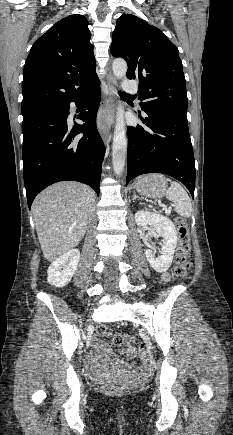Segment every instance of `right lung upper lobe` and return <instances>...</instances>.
Instances as JSON below:
<instances>
[{
	"label": "right lung upper lobe",
	"mask_w": 233,
	"mask_h": 435,
	"mask_svg": "<svg viewBox=\"0 0 233 435\" xmlns=\"http://www.w3.org/2000/svg\"><path fill=\"white\" fill-rule=\"evenodd\" d=\"M90 38L87 19L75 14L33 44L23 72V117L63 105L97 76Z\"/></svg>",
	"instance_id": "obj_1"
}]
</instances>
